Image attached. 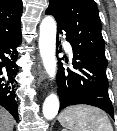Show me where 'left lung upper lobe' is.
<instances>
[{
	"label": "left lung upper lobe",
	"mask_w": 117,
	"mask_h": 131,
	"mask_svg": "<svg viewBox=\"0 0 117 131\" xmlns=\"http://www.w3.org/2000/svg\"><path fill=\"white\" fill-rule=\"evenodd\" d=\"M46 14L57 19L74 48L106 70L102 25L94 0H50Z\"/></svg>",
	"instance_id": "left-lung-upper-lobe-1"
}]
</instances>
